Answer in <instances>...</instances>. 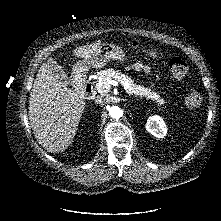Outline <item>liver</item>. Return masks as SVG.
Here are the masks:
<instances>
[{"label": "liver", "mask_w": 221, "mask_h": 221, "mask_svg": "<svg viewBox=\"0 0 221 221\" xmlns=\"http://www.w3.org/2000/svg\"><path fill=\"white\" fill-rule=\"evenodd\" d=\"M100 46L99 42L84 45L74 49L73 55L90 61ZM51 63L57 62L50 57L38 70L28 113L38 143L48 152L58 153L73 142L86 103L78 91L58 80L50 68Z\"/></svg>", "instance_id": "obj_1"}]
</instances>
